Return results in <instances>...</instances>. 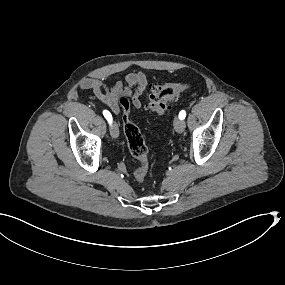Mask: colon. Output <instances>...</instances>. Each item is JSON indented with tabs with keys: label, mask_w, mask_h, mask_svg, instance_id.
Listing matches in <instances>:
<instances>
[{
	"label": "colon",
	"mask_w": 285,
	"mask_h": 285,
	"mask_svg": "<svg viewBox=\"0 0 285 285\" xmlns=\"http://www.w3.org/2000/svg\"><path fill=\"white\" fill-rule=\"evenodd\" d=\"M187 88H189V85L186 83H169L153 86L150 90L146 107L158 115H163L168 109L170 102L176 100ZM119 105L122 109L123 131L129 151L140 163V166L134 172V177L137 182L142 183L149 171L148 147L139 128L130 119V110L133 105L132 97L129 95L120 96Z\"/></svg>",
	"instance_id": "5ec220e1"
}]
</instances>
